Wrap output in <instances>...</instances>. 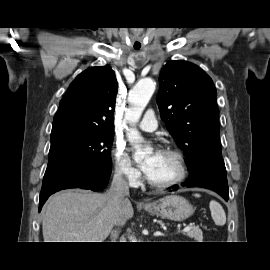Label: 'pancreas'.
<instances>
[{"label": "pancreas", "mask_w": 270, "mask_h": 270, "mask_svg": "<svg viewBox=\"0 0 270 270\" xmlns=\"http://www.w3.org/2000/svg\"><path fill=\"white\" fill-rule=\"evenodd\" d=\"M159 224L162 225V222L160 221ZM187 236L194 238L197 241H202L203 239V233L201 229L197 226L191 227L189 231H187Z\"/></svg>", "instance_id": "pancreas-1"}]
</instances>
